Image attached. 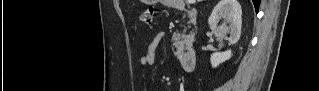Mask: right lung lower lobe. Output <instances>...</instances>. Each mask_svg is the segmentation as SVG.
Here are the masks:
<instances>
[{"label":"right lung lower lobe","mask_w":319,"mask_h":91,"mask_svg":"<svg viewBox=\"0 0 319 91\" xmlns=\"http://www.w3.org/2000/svg\"><path fill=\"white\" fill-rule=\"evenodd\" d=\"M252 1H253L254 6H255L256 12H258L259 5H260V0H252Z\"/></svg>","instance_id":"obj_1"}]
</instances>
